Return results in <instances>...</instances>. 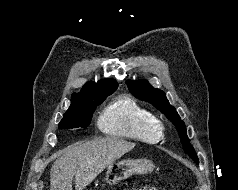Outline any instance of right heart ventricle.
I'll list each match as a JSON object with an SVG mask.
<instances>
[{
  "label": "right heart ventricle",
  "mask_w": 238,
  "mask_h": 190,
  "mask_svg": "<svg viewBox=\"0 0 238 190\" xmlns=\"http://www.w3.org/2000/svg\"><path fill=\"white\" fill-rule=\"evenodd\" d=\"M156 123L153 112L130 96H121L110 102L97 120L98 128L104 134L146 143L159 140Z\"/></svg>",
  "instance_id": "right-heart-ventricle-1"
}]
</instances>
